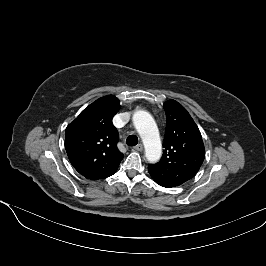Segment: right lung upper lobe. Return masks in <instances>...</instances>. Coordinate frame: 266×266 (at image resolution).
<instances>
[{
  "label": "right lung upper lobe",
  "mask_w": 266,
  "mask_h": 266,
  "mask_svg": "<svg viewBox=\"0 0 266 266\" xmlns=\"http://www.w3.org/2000/svg\"><path fill=\"white\" fill-rule=\"evenodd\" d=\"M120 109L118 98H99L66 128L65 149L73 167L90 180L113 175L124 155L118 150V132L112 123Z\"/></svg>",
  "instance_id": "right-lung-upper-lobe-1"
}]
</instances>
